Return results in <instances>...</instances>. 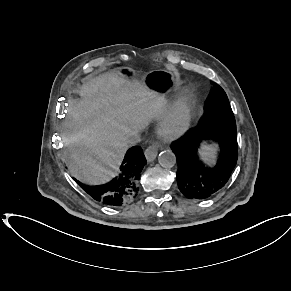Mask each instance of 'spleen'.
Wrapping results in <instances>:
<instances>
[{"label": "spleen", "mask_w": 291, "mask_h": 291, "mask_svg": "<svg viewBox=\"0 0 291 291\" xmlns=\"http://www.w3.org/2000/svg\"><path fill=\"white\" fill-rule=\"evenodd\" d=\"M215 147L213 146H204L202 150V158L207 161L211 162L215 155Z\"/></svg>", "instance_id": "obj_1"}]
</instances>
